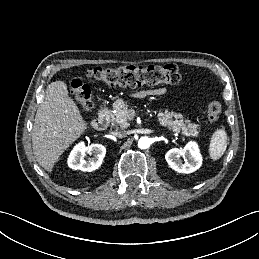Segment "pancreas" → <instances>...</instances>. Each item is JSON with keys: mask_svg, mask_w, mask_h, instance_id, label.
Here are the masks:
<instances>
[{"mask_svg": "<svg viewBox=\"0 0 259 259\" xmlns=\"http://www.w3.org/2000/svg\"><path fill=\"white\" fill-rule=\"evenodd\" d=\"M114 113L111 114L112 123L118 124L121 128H127L130 124L132 110H129L125 102L117 100L114 105ZM158 121L161 126L167 127L170 131L181 133L185 136L197 137L200 133L199 125L191 123L190 120H184L181 113H176L166 109L164 112H158Z\"/></svg>", "mask_w": 259, "mask_h": 259, "instance_id": "1", "label": "pancreas"}]
</instances>
